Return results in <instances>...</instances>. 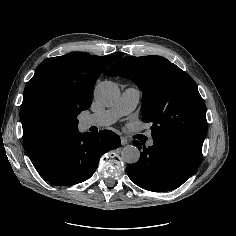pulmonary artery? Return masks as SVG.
Returning a JSON list of instances; mask_svg holds the SVG:
<instances>
[{"label": "pulmonary artery", "instance_id": "pulmonary-artery-1", "mask_svg": "<svg viewBox=\"0 0 236 236\" xmlns=\"http://www.w3.org/2000/svg\"><path fill=\"white\" fill-rule=\"evenodd\" d=\"M141 96L142 92L138 87L130 86L122 92L118 101L111 108L91 114L89 118L102 126L110 125L120 117L132 112L139 104ZM148 145L152 146L153 141L150 140Z\"/></svg>", "mask_w": 236, "mask_h": 236}]
</instances>
